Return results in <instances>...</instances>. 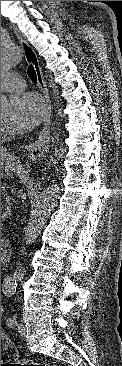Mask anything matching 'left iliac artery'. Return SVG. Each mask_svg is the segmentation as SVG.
<instances>
[{"label":"left iliac artery","mask_w":122,"mask_h":366,"mask_svg":"<svg viewBox=\"0 0 122 366\" xmlns=\"http://www.w3.org/2000/svg\"><path fill=\"white\" fill-rule=\"evenodd\" d=\"M16 324H17V321H16V319L14 317L7 319V326H9V327H15Z\"/></svg>","instance_id":"44dca946"}]
</instances>
